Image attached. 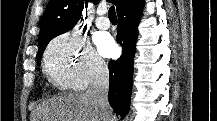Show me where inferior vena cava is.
I'll return each instance as SVG.
<instances>
[{
	"label": "inferior vena cava",
	"instance_id": "inferior-vena-cava-1",
	"mask_svg": "<svg viewBox=\"0 0 217 121\" xmlns=\"http://www.w3.org/2000/svg\"><path fill=\"white\" fill-rule=\"evenodd\" d=\"M109 71L106 65L98 63L93 70L92 79L86 95L94 101L100 111L102 121H112V112L108 102Z\"/></svg>",
	"mask_w": 217,
	"mask_h": 121
}]
</instances>
